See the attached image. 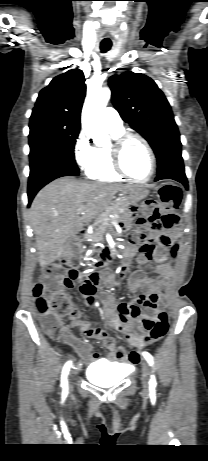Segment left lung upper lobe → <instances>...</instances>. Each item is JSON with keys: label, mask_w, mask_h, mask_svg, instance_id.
<instances>
[{"label": "left lung upper lobe", "mask_w": 208, "mask_h": 461, "mask_svg": "<svg viewBox=\"0 0 208 461\" xmlns=\"http://www.w3.org/2000/svg\"><path fill=\"white\" fill-rule=\"evenodd\" d=\"M112 103L122 119L151 145L158 173L171 163L183 160L174 116L163 92L148 76L126 72L109 78Z\"/></svg>", "instance_id": "1"}]
</instances>
